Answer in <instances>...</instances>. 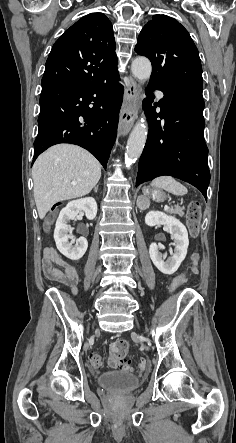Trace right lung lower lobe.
<instances>
[{
	"mask_svg": "<svg viewBox=\"0 0 236 443\" xmlns=\"http://www.w3.org/2000/svg\"><path fill=\"white\" fill-rule=\"evenodd\" d=\"M118 80L117 72L91 83L42 87L33 162L50 146L71 143L87 149L106 168L123 94Z\"/></svg>",
	"mask_w": 236,
	"mask_h": 443,
	"instance_id": "obj_1",
	"label": "right lung lower lobe"
}]
</instances>
